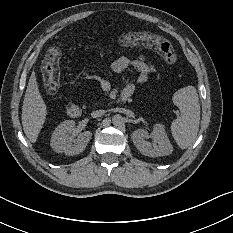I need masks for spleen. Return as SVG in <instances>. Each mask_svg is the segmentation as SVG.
Masks as SVG:
<instances>
[{
	"instance_id": "spleen-1",
	"label": "spleen",
	"mask_w": 233,
	"mask_h": 233,
	"mask_svg": "<svg viewBox=\"0 0 233 233\" xmlns=\"http://www.w3.org/2000/svg\"><path fill=\"white\" fill-rule=\"evenodd\" d=\"M175 103L181 116L171 124L172 136L181 149L192 146L200 124L199 98L194 86H187L177 92Z\"/></svg>"
}]
</instances>
